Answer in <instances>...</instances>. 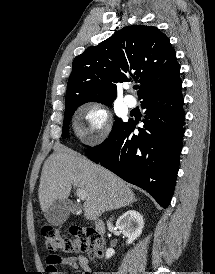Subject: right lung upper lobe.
Masks as SVG:
<instances>
[{
	"mask_svg": "<svg viewBox=\"0 0 215 274\" xmlns=\"http://www.w3.org/2000/svg\"><path fill=\"white\" fill-rule=\"evenodd\" d=\"M180 66L169 38L152 26H126L73 61L66 105L112 102L116 83L141 84L139 99L181 88Z\"/></svg>",
	"mask_w": 215,
	"mask_h": 274,
	"instance_id": "1",
	"label": "right lung upper lobe"
}]
</instances>
